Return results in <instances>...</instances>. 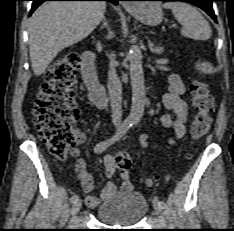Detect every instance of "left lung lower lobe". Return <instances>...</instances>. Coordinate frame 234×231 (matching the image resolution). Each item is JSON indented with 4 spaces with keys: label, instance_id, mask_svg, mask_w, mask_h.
I'll list each match as a JSON object with an SVG mask.
<instances>
[{
    "label": "left lung lower lobe",
    "instance_id": "obj_1",
    "mask_svg": "<svg viewBox=\"0 0 234 231\" xmlns=\"http://www.w3.org/2000/svg\"><path fill=\"white\" fill-rule=\"evenodd\" d=\"M140 1H186L204 10L214 19L215 22H217L216 16L212 8V2L215 0H140Z\"/></svg>",
    "mask_w": 234,
    "mask_h": 231
}]
</instances>
